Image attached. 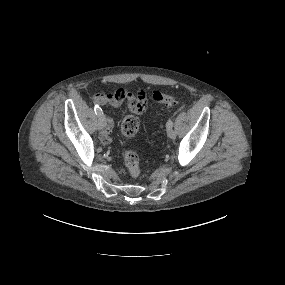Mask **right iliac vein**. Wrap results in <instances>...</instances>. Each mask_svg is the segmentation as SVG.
<instances>
[{
    "instance_id": "right-iliac-vein-1",
    "label": "right iliac vein",
    "mask_w": 285,
    "mask_h": 285,
    "mask_svg": "<svg viewBox=\"0 0 285 285\" xmlns=\"http://www.w3.org/2000/svg\"><path fill=\"white\" fill-rule=\"evenodd\" d=\"M105 127V117L103 114L98 116V129H103Z\"/></svg>"
}]
</instances>
